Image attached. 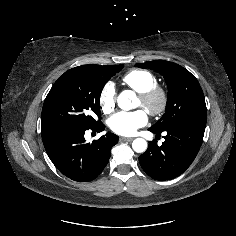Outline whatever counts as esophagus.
<instances>
[{
	"label": "esophagus",
	"mask_w": 236,
	"mask_h": 236,
	"mask_svg": "<svg viewBox=\"0 0 236 236\" xmlns=\"http://www.w3.org/2000/svg\"><path fill=\"white\" fill-rule=\"evenodd\" d=\"M134 138L132 137H121L120 140L131 142Z\"/></svg>",
	"instance_id": "1"
}]
</instances>
